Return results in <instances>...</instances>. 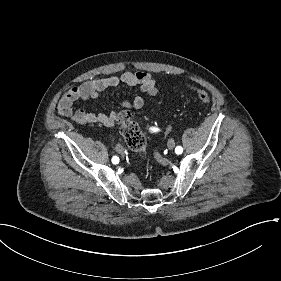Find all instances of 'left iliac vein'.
Instances as JSON below:
<instances>
[{
  "label": "left iliac vein",
  "mask_w": 281,
  "mask_h": 281,
  "mask_svg": "<svg viewBox=\"0 0 281 281\" xmlns=\"http://www.w3.org/2000/svg\"><path fill=\"white\" fill-rule=\"evenodd\" d=\"M167 145H168L169 149H173L174 146H175L174 140L173 139H169L168 142H167Z\"/></svg>",
  "instance_id": "4c4485c4"
}]
</instances>
